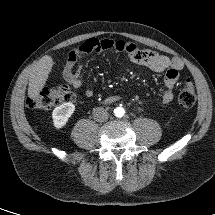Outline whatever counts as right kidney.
I'll use <instances>...</instances> for the list:
<instances>
[{
	"mask_svg": "<svg viewBox=\"0 0 215 215\" xmlns=\"http://www.w3.org/2000/svg\"><path fill=\"white\" fill-rule=\"evenodd\" d=\"M75 111V105L64 103L57 106L52 112V120L55 128H63Z\"/></svg>",
	"mask_w": 215,
	"mask_h": 215,
	"instance_id": "right-kidney-1",
	"label": "right kidney"
}]
</instances>
